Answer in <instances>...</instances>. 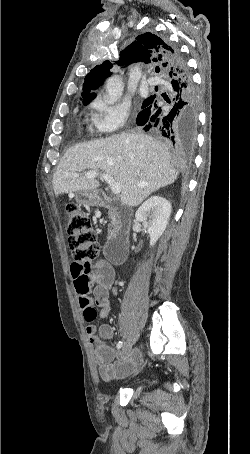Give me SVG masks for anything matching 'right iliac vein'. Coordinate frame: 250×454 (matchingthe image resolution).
Returning <instances> with one entry per match:
<instances>
[{
  "label": "right iliac vein",
  "mask_w": 250,
  "mask_h": 454,
  "mask_svg": "<svg viewBox=\"0 0 250 454\" xmlns=\"http://www.w3.org/2000/svg\"><path fill=\"white\" fill-rule=\"evenodd\" d=\"M131 348H132L131 342L127 341L122 348V354L127 355L130 352Z\"/></svg>",
  "instance_id": "obj_1"
}]
</instances>
